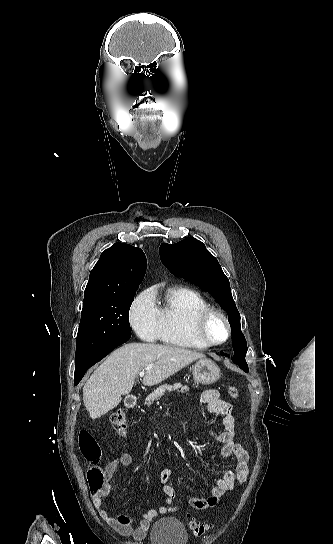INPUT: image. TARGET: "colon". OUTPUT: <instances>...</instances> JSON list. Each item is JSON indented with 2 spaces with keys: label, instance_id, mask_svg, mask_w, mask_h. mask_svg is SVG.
Returning a JSON list of instances; mask_svg holds the SVG:
<instances>
[{
  "label": "colon",
  "instance_id": "colon-1",
  "mask_svg": "<svg viewBox=\"0 0 333 544\" xmlns=\"http://www.w3.org/2000/svg\"><path fill=\"white\" fill-rule=\"evenodd\" d=\"M228 394L232 398H238L239 392L233 386L228 387ZM110 422L114 430L123 435L127 428V417L124 409H117L110 416ZM79 447L84 459L88 462L87 480L92 492L100 491L106 483V475L104 469L99 466L101 458V449L95 438L86 431L79 433ZM189 526L196 536H202L211 528V524L200 523L194 519H190Z\"/></svg>",
  "mask_w": 333,
  "mask_h": 544
}]
</instances>
